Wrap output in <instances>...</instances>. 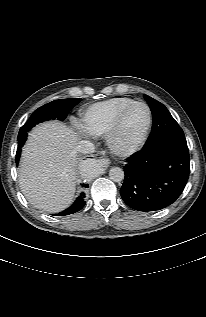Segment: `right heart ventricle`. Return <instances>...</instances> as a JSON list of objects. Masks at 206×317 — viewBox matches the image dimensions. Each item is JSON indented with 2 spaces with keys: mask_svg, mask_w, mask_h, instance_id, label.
Listing matches in <instances>:
<instances>
[{
  "mask_svg": "<svg viewBox=\"0 0 206 317\" xmlns=\"http://www.w3.org/2000/svg\"><path fill=\"white\" fill-rule=\"evenodd\" d=\"M133 102L126 97H117L89 106L82 117L85 131L93 136L106 135L118 112Z\"/></svg>",
  "mask_w": 206,
  "mask_h": 317,
  "instance_id": "1",
  "label": "right heart ventricle"
}]
</instances>
